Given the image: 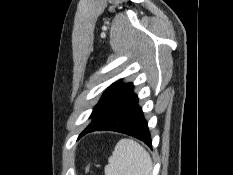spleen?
I'll return each instance as SVG.
<instances>
[{"instance_id":"3e777b00","label":"spleen","mask_w":233,"mask_h":175,"mask_svg":"<svg viewBox=\"0 0 233 175\" xmlns=\"http://www.w3.org/2000/svg\"><path fill=\"white\" fill-rule=\"evenodd\" d=\"M105 166V175H151L153 166L148 152L137 142L121 139Z\"/></svg>"}]
</instances>
